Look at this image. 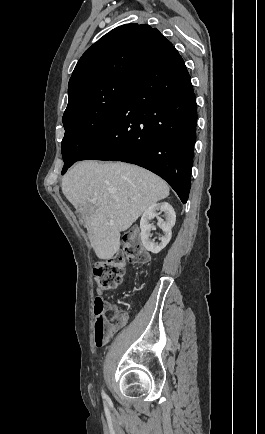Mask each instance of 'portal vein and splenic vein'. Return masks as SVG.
<instances>
[{"label": "portal vein and splenic vein", "instance_id": "1", "mask_svg": "<svg viewBox=\"0 0 265 434\" xmlns=\"http://www.w3.org/2000/svg\"><path fill=\"white\" fill-rule=\"evenodd\" d=\"M89 202H91V204H96V200H89Z\"/></svg>", "mask_w": 265, "mask_h": 434}]
</instances>
